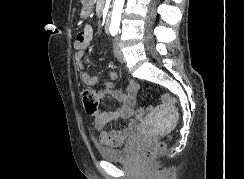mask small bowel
I'll use <instances>...</instances> for the list:
<instances>
[{
	"instance_id": "obj_1",
	"label": "small bowel",
	"mask_w": 244,
	"mask_h": 179,
	"mask_svg": "<svg viewBox=\"0 0 244 179\" xmlns=\"http://www.w3.org/2000/svg\"><path fill=\"white\" fill-rule=\"evenodd\" d=\"M92 38L93 29L89 25H86L76 37V40L74 42V47L76 49V53L74 54V61L79 69L84 68L82 59L85 55V52L91 45ZM108 77L109 80L104 83L103 87L100 90H98L97 97L98 99H103L107 95H111L116 100L122 102V106L112 113H98L95 116L94 125L97 130H101V133L99 135V142L101 144L110 147H118L124 143L126 138L133 132L134 128L137 126L136 118H134L133 116L137 85L133 82L129 83L127 92L123 93L114 89L117 74L115 72H109ZM80 78L84 84L90 86L95 85L98 81V77L96 75H91L87 72H82ZM118 118H123L127 121L125 128H123L122 130L112 131L103 130L108 124L116 122Z\"/></svg>"
}]
</instances>
